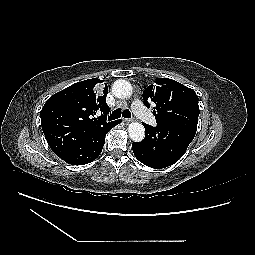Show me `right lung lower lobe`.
<instances>
[{"label":"right lung lower lobe","mask_w":255,"mask_h":255,"mask_svg":"<svg viewBox=\"0 0 255 255\" xmlns=\"http://www.w3.org/2000/svg\"><path fill=\"white\" fill-rule=\"evenodd\" d=\"M121 120L113 121L110 125L94 129L80 139L73 145L68 147L60 156L68 164L84 165L95 160L101 153L106 134Z\"/></svg>","instance_id":"right-lung-lower-lobe-1"}]
</instances>
